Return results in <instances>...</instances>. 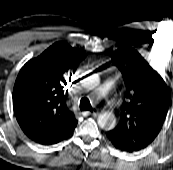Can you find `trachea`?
Segmentation results:
<instances>
[{
    "mask_svg": "<svg viewBox=\"0 0 173 170\" xmlns=\"http://www.w3.org/2000/svg\"><path fill=\"white\" fill-rule=\"evenodd\" d=\"M79 107L82 111H85V110L92 111L93 110V108L90 104V101L88 100V98H85V97L80 100Z\"/></svg>",
    "mask_w": 173,
    "mask_h": 170,
    "instance_id": "1",
    "label": "trachea"
}]
</instances>
